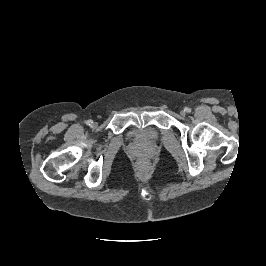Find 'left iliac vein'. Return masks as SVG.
I'll use <instances>...</instances> for the list:
<instances>
[{
    "mask_svg": "<svg viewBox=\"0 0 266 266\" xmlns=\"http://www.w3.org/2000/svg\"><path fill=\"white\" fill-rule=\"evenodd\" d=\"M180 115L184 117V116L186 115L185 110H181V111H180Z\"/></svg>",
    "mask_w": 266,
    "mask_h": 266,
    "instance_id": "obj_1",
    "label": "left iliac vein"
}]
</instances>
